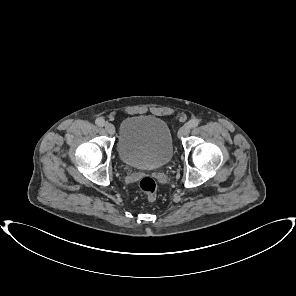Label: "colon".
Returning <instances> with one entry per match:
<instances>
[{
  "label": "colon",
  "mask_w": 296,
  "mask_h": 296,
  "mask_svg": "<svg viewBox=\"0 0 296 296\" xmlns=\"http://www.w3.org/2000/svg\"><path fill=\"white\" fill-rule=\"evenodd\" d=\"M139 189L150 201L157 197V184L151 177H144L139 182Z\"/></svg>",
  "instance_id": "colon-1"
}]
</instances>
